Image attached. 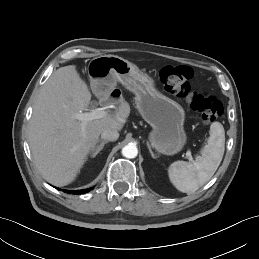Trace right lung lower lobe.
Segmentation results:
<instances>
[{
  "label": "right lung lower lobe",
  "mask_w": 259,
  "mask_h": 259,
  "mask_svg": "<svg viewBox=\"0 0 259 259\" xmlns=\"http://www.w3.org/2000/svg\"><path fill=\"white\" fill-rule=\"evenodd\" d=\"M91 189L92 188L82 189V190H64V192L70 193V194H84L89 192Z\"/></svg>",
  "instance_id": "right-lung-lower-lobe-1"
}]
</instances>
